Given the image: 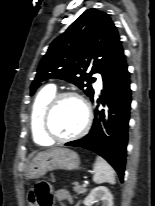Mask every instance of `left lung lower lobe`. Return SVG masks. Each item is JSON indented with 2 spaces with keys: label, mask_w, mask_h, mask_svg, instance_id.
Returning <instances> with one entry per match:
<instances>
[{
  "label": "left lung lower lobe",
  "mask_w": 155,
  "mask_h": 206,
  "mask_svg": "<svg viewBox=\"0 0 155 206\" xmlns=\"http://www.w3.org/2000/svg\"><path fill=\"white\" fill-rule=\"evenodd\" d=\"M125 55L122 52L102 76L103 91L99 98L94 95L92 102L101 103L110 109L106 122L105 111L95 110L90 132L83 138L66 143V146L82 147L96 152L106 159L124 178L128 122L130 118L131 89ZM113 113L114 115H111Z\"/></svg>",
  "instance_id": "left-lung-lower-lobe-1"
}]
</instances>
